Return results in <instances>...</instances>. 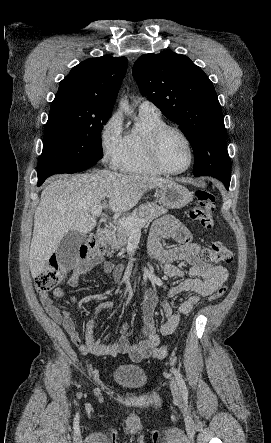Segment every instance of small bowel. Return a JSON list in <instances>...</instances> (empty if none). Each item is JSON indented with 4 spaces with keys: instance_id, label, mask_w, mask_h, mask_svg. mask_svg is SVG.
Masks as SVG:
<instances>
[{
    "instance_id": "c3829d8e",
    "label": "small bowel",
    "mask_w": 271,
    "mask_h": 443,
    "mask_svg": "<svg viewBox=\"0 0 271 443\" xmlns=\"http://www.w3.org/2000/svg\"><path fill=\"white\" fill-rule=\"evenodd\" d=\"M165 239H174L179 245L164 249L162 241ZM148 255L163 265L164 274L168 278H182L185 273L182 268L176 265V262H185L189 266V278L173 286L168 295L174 297L181 293H189V296L179 305L177 311H174L167 302L160 304L165 321L157 331L154 311L160 302L155 293L148 290L143 304L144 324L140 330L141 338L136 342L130 341L127 325L123 327L116 342L105 343L95 337L97 316L105 310L112 309L113 302H104L98 306L96 316L85 324L83 341L76 331L68 311L61 310L48 293L40 294V301L48 315L63 326L71 341L83 354L108 356L123 354L135 362L148 357L159 345L160 336L171 335L178 327L181 316L189 314L199 303L201 297L213 294L228 277L224 268L213 266L201 255V246L193 240L190 231L178 219L170 215L157 220L154 224L148 240ZM92 268L93 263H87L75 270L68 280L69 286L76 287L79 278L90 272ZM102 271L106 275H113L117 282L123 280L124 269L122 266H115L106 261L103 263ZM53 293L56 297L64 295L62 288H56ZM71 302L77 304L74 297L71 298Z\"/></svg>"
}]
</instances>
